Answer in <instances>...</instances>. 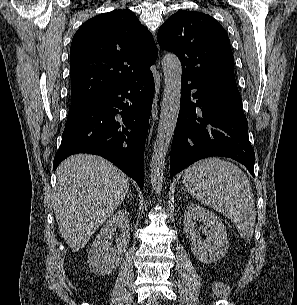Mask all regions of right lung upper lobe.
Here are the masks:
<instances>
[{
  "label": "right lung upper lobe",
  "mask_w": 297,
  "mask_h": 305,
  "mask_svg": "<svg viewBox=\"0 0 297 305\" xmlns=\"http://www.w3.org/2000/svg\"><path fill=\"white\" fill-rule=\"evenodd\" d=\"M157 56L153 36L133 12L114 10L89 19L70 48L71 104L151 72Z\"/></svg>",
  "instance_id": "obj_1"
}]
</instances>
